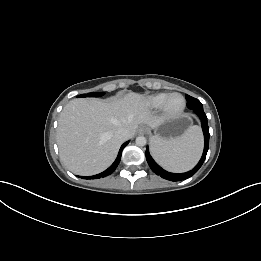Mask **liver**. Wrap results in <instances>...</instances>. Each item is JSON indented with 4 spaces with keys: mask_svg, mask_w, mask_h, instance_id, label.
Masks as SVG:
<instances>
[{
    "mask_svg": "<svg viewBox=\"0 0 261 261\" xmlns=\"http://www.w3.org/2000/svg\"><path fill=\"white\" fill-rule=\"evenodd\" d=\"M163 121L150 113L144 97L137 93L107 100H71L58 121L60 159L74 174L100 173L112 164L121 144L134 136L140 124L156 128ZM118 129L127 131L125 140L115 137Z\"/></svg>",
    "mask_w": 261,
    "mask_h": 261,
    "instance_id": "6515ba94",
    "label": "liver"
}]
</instances>
